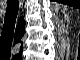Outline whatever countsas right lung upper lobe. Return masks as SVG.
<instances>
[{
    "mask_svg": "<svg viewBox=\"0 0 80 60\" xmlns=\"http://www.w3.org/2000/svg\"><path fill=\"white\" fill-rule=\"evenodd\" d=\"M24 28H25V21L23 17H21L18 21L16 32H15V38L14 42H20L22 36L24 35Z\"/></svg>",
    "mask_w": 80,
    "mask_h": 60,
    "instance_id": "obj_1",
    "label": "right lung upper lobe"
}]
</instances>
